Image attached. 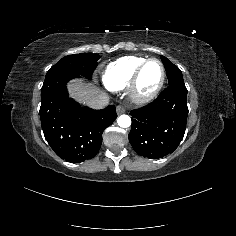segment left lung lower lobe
<instances>
[{"instance_id":"left-lung-lower-lobe-1","label":"left lung lower lobe","mask_w":236,"mask_h":236,"mask_svg":"<svg viewBox=\"0 0 236 236\" xmlns=\"http://www.w3.org/2000/svg\"><path fill=\"white\" fill-rule=\"evenodd\" d=\"M129 142L141 156L158 159L175 151L184 137L188 116L184 83L169 85L150 104L130 111Z\"/></svg>"}]
</instances>
